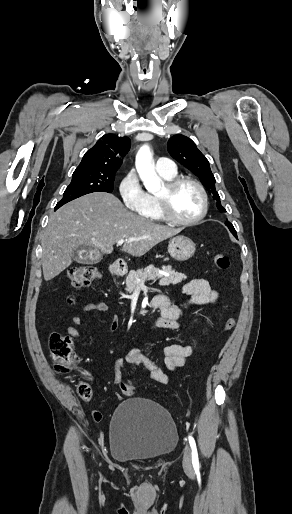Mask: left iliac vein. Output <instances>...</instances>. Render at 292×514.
Here are the masks:
<instances>
[{"mask_svg":"<svg viewBox=\"0 0 292 514\" xmlns=\"http://www.w3.org/2000/svg\"><path fill=\"white\" fill-rule=\"evenodd\" d=\"M183 467L187 471H190L192 469L191 449L188 444H186L184 448Z\"/></svg>","mask_w":292,"mask_h":514,"instance_id":"1","label":"left iliac vein"}]
</instances>
